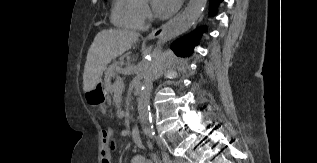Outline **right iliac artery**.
<instances>
[{"instance_id":"1","label":"right iliac artery","mask_w":317,"mask_h":163,"mask_svg":"<svg viewBox=\"0 0 317 163\" xmlns=\"http://www.w3.org/2000/svg\"><path fill=\"white\" fill-rule=\"evenodd\" d=\"M163 162L164 163H171V160L169 159V156L166 153L163 155Z\"/></svg>"}]
</instances>
